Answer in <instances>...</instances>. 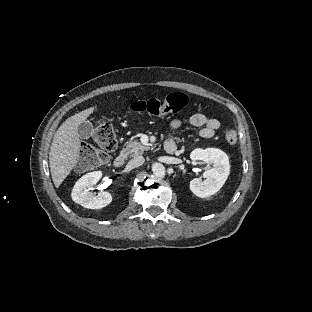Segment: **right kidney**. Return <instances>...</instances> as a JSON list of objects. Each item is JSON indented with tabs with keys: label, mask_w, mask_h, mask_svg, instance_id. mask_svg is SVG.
Instances as JSON below:
<instances>
[{
	"label": "right kidney",
	"mask_w": 312,
	"mask_h": 312,
	"mask_svg": "<svg viewBox=\"0 0 312 312\" xmlns=\"http://www.w3.org/2000/svg\"><path fill=\"white\" fill-rule=\"evenodd\" d=\"M101 172H91L80 178L72 190V200L87 209H103L111 204L113 198L111 193L102 192L94 196L88 192L89 186H95L101 177Z\"/></svg>",
	"instance_id": "right-kidney-1"
}]
</instances>
